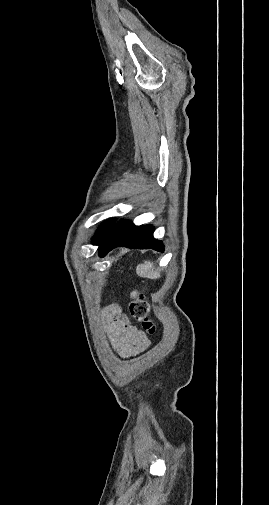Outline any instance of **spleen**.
Instances as JSON below:
<instances>
[{"mask_svg":"<svg viewBox=\"0 0 269 505\" xmlns=\"http://www.w3.org/2000/svg\"><path fill=\"white\" fill-rule=\"evenodd\" d=\"M136 272L143 278L158 279L161 277L160 271L151 261H144L142 264H139L136 268Z\"/></svg>","mask_w":269,"mask_h":505,"instance_id":"3e777b00","label":"spleen"}]
</instances>
